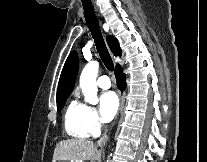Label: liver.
I'll return each mask as SVG.
<instances>
[{
  "label": "liver",
  "instance_id": "liver-1",
  "mask_svg": "<svg viewBox=\"0 0 207 162\" xmlns=\"http://www.w3.org/2000/svg\"><path fill=\"white\" fill-rule=\"evenodd\" d=\"M102 153L98 146L86 139H67L60 141L54 150L53 161H85L101 160Z\"/></svg>",
  "mask_w": 207,
  "mask_h": 162
}]
</instances>
